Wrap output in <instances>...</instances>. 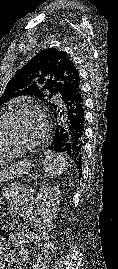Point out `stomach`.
Instances as JSON below:
<instances>
[{"mask_svg": "<svg viewBox=\"0 0 118 269\" xmlns=\"http://www.w3.org/2000/svg\"><path fill=\"white\" fill-rule=\"evenodd\" d=\"M33 167V163L29 160L19 161L9 168L0 170V184L9 181L16 176L28 174ZM1 187V185H0Z\"/></svg>", "mask_w": 118, "mask_h": 269, "instance_id": "0dacf381", "label": "stomach"}]
</instances>
